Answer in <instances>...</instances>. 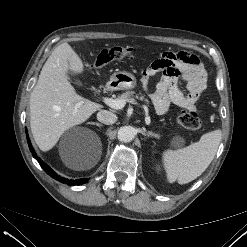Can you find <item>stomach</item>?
I'll list each match as a JSON object with an SVG mask.
<instances>
[{"label":"stomach","mask_w":247,"mask_h":247,"mask_svg":"<svg viewBox=\"0 0 247 247\" xmlns=\"http://www.w3.org/2000/svg\"><path fill=\"white\" fill-rule=\"evenodd\" d=\"M110 85L115 90H129L136 87L137 80L132 73L119 71L111 75Z\"/></svg>","instance_id":"obj_1"}]
</instances>
